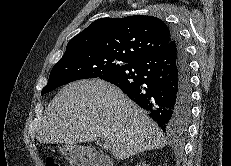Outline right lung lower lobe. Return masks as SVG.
<instances>
[{"label":"right lung lower lobe","instance_id":"98d812e1","mask_svg":"<svg viewBox=\"0 0 231 166\" xmlns=\"http://www.w3.org/2000/svg\"><path fill=\"white\" fill-rule=\"evenodd\" d=\"M99 78L118 86L171 136L183 135L190 120L192 89L185 46L172 30L160 51L122 65Z\"/></svg>","mask_w":231,"mask_h":166}]
</instances>
